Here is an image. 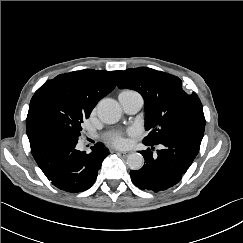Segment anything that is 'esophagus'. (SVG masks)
Here are the masks:
<instances>
[{"label": "esophagus", "mask_w": 243, "mask_h": 243, "mask_svg": "<svg viewBox=\"0 0 243 243\" xmlns=\"http://www.w3.org/2000/svg\"><path fill=\"white\" fill-rule=\"evenodd\" d=\"M116 153L122 157H127L130 154L129 151H116Z\"/></svg>", "instance_id": "esophagus-1"}]
</instances>
